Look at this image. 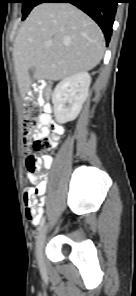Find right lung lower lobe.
I'll list each match as a JSON object with an SVG mask.
<instances>
[{"mask_svg": "<svg viewBox=\"0 0 136 296\" xmlns=\"http://www.w3.org/2000/svg\"><path fill=\"white\" fill-rule=\"evenodd\" d=\"M40 3H71L77 6L97 22L108 44L119 0H42Z\"/></svg>", "mask_w": 136, "mask_h": 296, "instance_id": "98d812e1", "label": "right lung lower lobe"}]
</instances>
